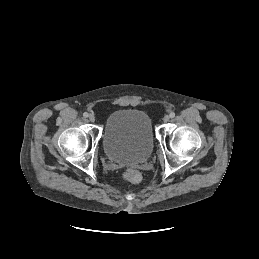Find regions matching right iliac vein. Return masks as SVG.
I'll return each mask as SVG.
<instances>
[{
	"instance_id": "right-iliac-vein-1",
	"label": "right iliac vein",
	"mask_w": 259,
	"mask_h": 259,
	"mask_svg": "<svg viewBox=\"0 0 259 259\" xmlns=\"http://www.w3.org/2000/svg\"><path fill=\"white\" fill-rule=\"evenodd\" d=\"M89 120H90L91 122H94V121H95V116H94L93 114H90V115H89Z\"/></svg>"
}]
</instances>
